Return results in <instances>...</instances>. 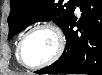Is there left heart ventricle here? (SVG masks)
I'll use <instances>...</instances> for the list:
<instances>
[{
  "label": "left heart ventricle",
  "mask_w": 102,
  "mask_h": 75,
  "mask_svg": "<svg viewBox=\"0 0 102 75\" xmlns=\"http://www.w3.org/2000/svg\"><path fill=\"white\" fill-rule=\"evenodd\" d=\"M57 38L49 29L32 32L23 44V58L28 64L46 61L57 49Z\"/></svg>",
  "instance_id": "left-heart-ventricle-1"
}]
</instances>
